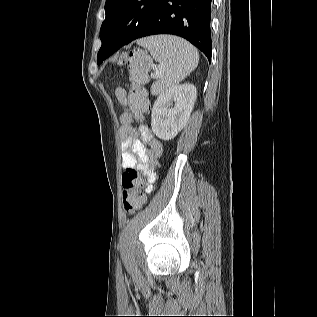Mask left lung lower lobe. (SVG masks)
I'll use <instances>...</instances> for the list:
<instances>
[{
    "label": "left lung lower lobe",
    "instance_id": "obj_1",
    "mask_svg": "<svg viewBox=\"0 0 317 317\" xmlns=\"http://www.w3.org/2000/svg\"><path fill=\"white\" fill-rule=\"evenodd\" d=\"M211 1L162 0L135 39L155 34L177 35L195 45L211 61ZM122 46L111 41L104 42L103 58L106 59Z\"/></svg>",
    "mask_w": 317,
    "mask_h": 317
}]
</instances>
